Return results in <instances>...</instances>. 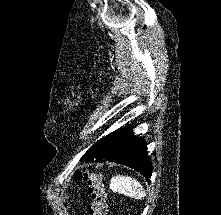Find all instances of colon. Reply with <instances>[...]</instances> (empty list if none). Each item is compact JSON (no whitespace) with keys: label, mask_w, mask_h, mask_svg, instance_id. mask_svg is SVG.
Here are the masks:
<instances>
[{"label":"colon","mask_w":221,"mask_h":215,"mask_svg":"<svg viewBox=\"0 0 221 215\" xmlns=\"http://www.w3.org/2000/svg\"><path fill=\"white\" fill-rule=\"evenodd\" d=\"M75 177L78 181L87 185L91 197L89 205L90 215H107L108 201L105 186L99 173L87 170L77 171Z\"/></svg>","instance_id":"5ec220e1"}]
</instances>
